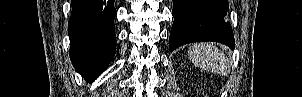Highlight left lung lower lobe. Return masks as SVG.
Returning a JSON list of instances; mask_svg holds the SVG:
<instances>
[{"label": "left lung lower lobe", "mask_w": 302, "mask_h": 97, "mask_svg": "<svg viewBox=\"0 0 302 97\" xmlns=\"http://www.w3.org/2000/svg\"><path fill=\"white\" fill-rule=\"evenodd\" d=\"M228 9V0H173L174 22L169 49L203 41L220 42L234 48Z\"/></svg>", "instance_id": "left-lung-lower-lobe-1"}]
</instances>
